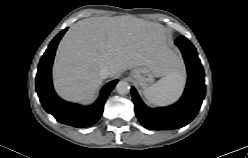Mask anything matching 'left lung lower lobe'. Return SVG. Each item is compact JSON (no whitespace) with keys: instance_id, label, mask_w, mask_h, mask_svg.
Returning a JSON list of instances; mask_svg holds the SVG:
<instances>
[{"instance_id":"0a47b994","label":"left lung lower lobe","mask_w":248,"mask_h":158,"mask_svg":"<svg viewBox=\"0 0 248 158\" xmlns=\"http://www.w3.org/2000/svg\"><path fill=\"white\" fill-rule=\"evenodd\" d=\"M175 44L182 51L188 80L181 99L174 105L151 109L140 99L132 87V98L136 116L140 123L151 130L181 128L197 115L205 95L204 71L193 44L184 36L176 39Z\"/></svg>"}]
</instances>
